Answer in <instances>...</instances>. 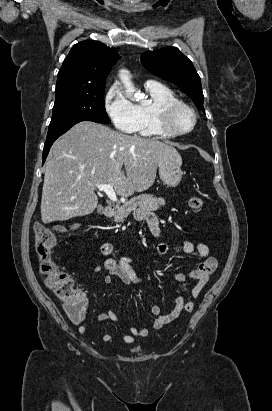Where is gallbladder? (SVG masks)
I'll use <instances>...</instances> for the list:
<instances>
[{
	"instance_id": "1",
	"label": "gallbladder",
	"mask_w": 272,
	"mask_h": 411,
	"mask_svg": "<svg viewBox=\"0 0 272 411\" xmlns=\"http://www.w3.org/2000/svg\"><path fill=\"white\" fill-rule=\"evenodd\" d=\"M103 212V208L101 206L98 207V213H102Z\"/></svg>"
}]
</instances>
